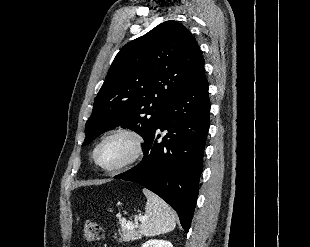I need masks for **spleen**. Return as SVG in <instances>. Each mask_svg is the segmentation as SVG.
I'll list each match as a JSON object with an SVG mask.
<instances>
[{"mask_svg": "<svg viewBox=\"0 0 310 247\" xmlns=\"http://www.w3.org/2000/svg\"><path fill=\"white\" fill-rule=\"evenodd\" d=\"M143 193L147 198V203L139 232L146 237H152L174 230L175 213L170 206L147 189H143Z\"/></svg>", "mask_w": 310, "mask_h": 247, "instance_id": "3e777b00", "label": "spleen"}]
</instances>
